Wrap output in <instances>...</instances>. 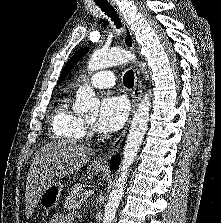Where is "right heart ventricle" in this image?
I'll use <instances>...</instances> for the list:
<instances>
[{
    "label": "right heart ventricle",
    "instance_id": "e07e8e85",
    "mask_svg": "<svg viewBox=\"0 0 221 223\" xmlns=\"http://www.w3.org/2000/svg\"><path fill=\"white\" fill-rule=\"evenodd\" d=\"M50 138L58 142L76 143L84 139L86 126L83 119L70 107L68 97L62 98L50 114Z\"/></svg>",
    "mask_w": 221,
    "mask_h": 223
}]
</instances>
